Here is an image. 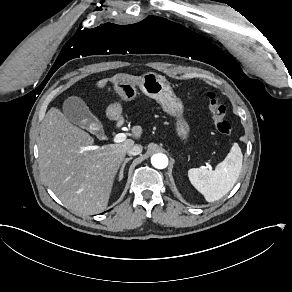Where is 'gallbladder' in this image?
Wrapping results in <instances>:
<instances>
[{"mask_svg": "<svg viewBox=\"0 0 292 292\" xmlns=\"http://www.w3.org/2000/svg\"><path fill=\"white\" fill-rule=\"evenodd\" d=\"M62 111L70 122L86 130L92 123L98 121V118L92 113L84 100L77 96L68 97L62 104ZM95 135L98 139H102L104 132Z\"/></svg>", "mask_w": 292, "mask_h": 292, "instance_id": "1", "label": "gallbladder"}]
</instances>
